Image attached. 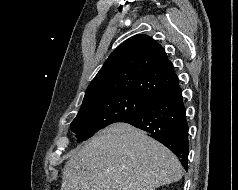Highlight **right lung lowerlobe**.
Listing matches in <instances>:
<instances>
[{"label": "right lung lower lobe", "instance_id": "obj_1", "mask_svg": "<svg viewBox=\"0 0 238 190\" xmlns=\"http://www.w3.org/2000/svg\"><path fill=\"white\" fill-rule=\"evenodd\" d=\"M122 122L152 134L172 150L187 170L189 153L188 123L179 84L141 112Z\"/></svg>", "mask_w": 238, "mask_h": 190}]
</instances>
